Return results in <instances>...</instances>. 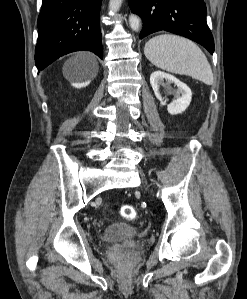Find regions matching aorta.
Masks as SVG:
<instances>
[{"mask_svg": "<svg viewBox=\"0 0 247 299\" xmlns=\"http://www.w3.org/2000/svg\"><path fill=\"white\" fill-rule=\"evenodd\" d=\"M123 0H110L109 1V10L112 15H114L121 7Z\"/></svg>", "mask_w": 247, "mask_h": 299, "instance_id": "aorta-1", "label": "aorta"}]
</instances>
